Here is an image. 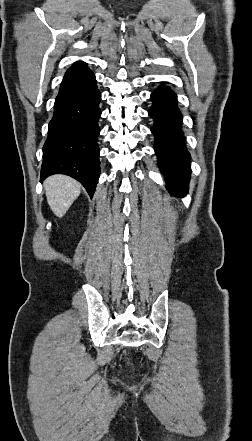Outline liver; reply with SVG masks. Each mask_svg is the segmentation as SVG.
I'll return each mask as SVG.
<instances>
[{"mask_svg":"<svg viewBox=\"0 0 252 441\" xmlns=\"http://www.w3.org/2000/svg\"><path fill=\"white\" fill-rule=\"evenodd\" d=\"M81 185L65 175H53L44 181L47 202L54 214L61 218L80 195Z\"/></svg>","mask_w":252,"mask_h":441,"instance_id":"liver-1","label":"liver"}]
</instances>
